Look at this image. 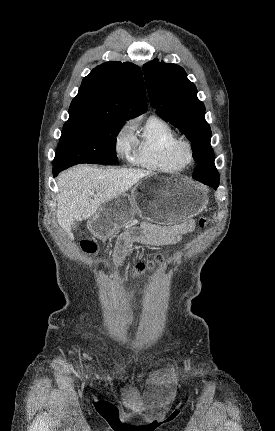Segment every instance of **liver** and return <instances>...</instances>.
<instances>
[{"instance_id":"obj_1","label":"liver","mask_w":275,"mask_h":431,"mask_svg":"<svg viewBox=\"0 0 275 431\" xmlns=\"http://www.w3.org/2000/svg\"><path fill=\"white\" fill-rule=\"evenodd\" d=\"M153 175L151 171L137 169H99L78 165L62 172L57 179V221L73 239L70 231L75 221L92 217L99 207L125 194L141 179ZM90 191H95L91 199Z\"/></svg>"}]
</instances>
